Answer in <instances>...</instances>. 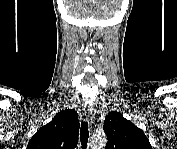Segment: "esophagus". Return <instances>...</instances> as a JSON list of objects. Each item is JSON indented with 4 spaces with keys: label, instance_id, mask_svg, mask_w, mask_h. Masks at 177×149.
Listing matches in <instances>:
<instances>
[{
    "label": "esophagus",
    "instance_id": "obj_1",
    "mask_svg": "<svg viewBox=\"0 0 177 149\" xmlns=\"http://www.w3.org/2000/svg\"><path fill=\"white\" fill-rule=\"evenodd\" d=\"M84 114L87 122H91L93 120V108L91 106H86L84 108Z\"/></svg>",
    "mask_w": 177,
    "mask_h": 149
}]
</instances>
